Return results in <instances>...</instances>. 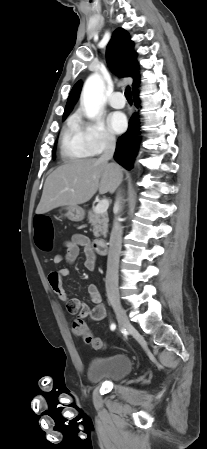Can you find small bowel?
I'll list each match as a JSON object with an SVG mask.
<instances>
[{"label":"small bowel","instance_id":"obj_1","mask_svg":"<svg viewBox=\"0 0 207 449\" xmlns=\"http://www.w3.org/2000/svg\"><path fill=\"white\" fill-rule=\"evenodd\" d=\"M65 256L56 255L53 258L54 265H60L64 260L73 264L79 256L80 250L84 251V265L92 271L96 267V254L91 247L90 239L83 234H75L72 238L64 243ZM70 275L68 268H59L53 270L48 275V282L53 292L58 298L65 302L66 310L71 315H77L80 318H90L93 321H100L106 316V309L102 304L101 295L97 285L91 283L87 287L93 307L83 303L77 298H70L63 285L64 278Z\"/></svg>","mask_w":207,"mask_h":449}]
</instances>
